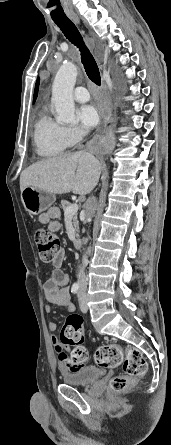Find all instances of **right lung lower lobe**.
<instances>
[{"instance_id": "obj_1", "label": "right lung lower lobe", "mask_w": 171, "mask_h": 445, "mask_svg": "<svg viewBox=\"0 0 171 445\" xmlns=\"http://www.w3.org/2000/svg\"><path fill=\"white\" fill-rule=\"evenodd\" d=\"M90 148L98 155H105L111 151V143L108 139H94L90 143Z\"/></svg>"}]
</instances>
